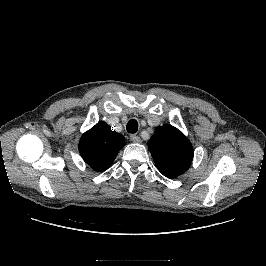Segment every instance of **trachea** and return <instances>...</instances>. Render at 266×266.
<instances>
[{
	"label": "trachea",
	"mask_w": 266,
	"mask_h": 266,
	"mask_svg": "<svg viewBox=\"0 0 266 266\" xmlns=\"http://www.w3.org/2000/svg\"><path fill=\"white\" fill-rule=\"evenodd\" d=\"M128 133H136L138 131V122L135 119H131L126 126Z\"/></svg>",
	"instance_id": "trachea-1"
}]
</instances>
